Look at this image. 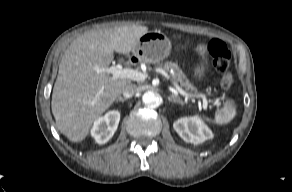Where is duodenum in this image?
<instances>
[{
    "label": "duodenum",
    "mask_w": 292,
    "mask_h": 192,
    "mask_svg": "<svg viewBox=\"0 0 292 192\" xmlns=\"http://www.w3.org/2000/svg\"><path fill=\"white\" fill-rule=\"evenodd\" d=\"M130 61L132 63H136L138 61V59L136 57L132 56V57H130Z\"/></svg>",
    "instance_id": "410a0bca"
}]
</instances>
